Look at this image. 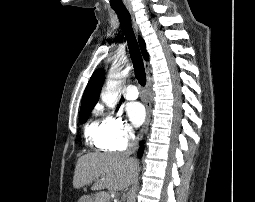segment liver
Returning a JSON list of instances; mask_svg holds the SVG:
<instances>
[{"label":"liver","mask_w":255,"mask_h":202,"mask_svg":"<svg viewBox=\"0 0 255 202\" xmlns=\"http://www.w3.org/2000/svg\"><path fill=\"white\" fill-rule=\"evenodd\" d=\"M138 174V162L124 153H91L77 161L73 187L80 189L95 183L93 190L120 191L130 186Z\"/></svg>","instance_id":"1"}]
</instances>
